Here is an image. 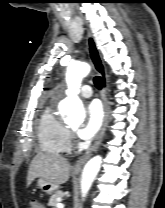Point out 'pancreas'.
Returning a JSON list of instances; mask_svg holds the SVG:
<instances>
[{"label":"pancreas","instance_id":"obj_1","mask_svg":"<svg viewBox=\"0 0 165 208\" xmlns=\"http://www.w3.org/2000/svg\"><path fill=\"white\" fill-rule=\"evenodd\" d=\"M64 193L60 190L56 191L49 199L48 205L51 206L52 208H55L57 203H58V198H63Z\"/></svg>","mask_w":165,"mask_h":208}]
</instances>
